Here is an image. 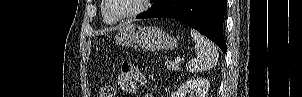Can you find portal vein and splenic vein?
Segmentation results:
<instances>
[{
  "mask_svg": "<svg viewBox=\"0 0 302 97\" xmlns=\"http://www.w3.org/2000/svg\"><path fill=\"white\" fill-rule=\"evenodd\" d=\"M181 62V58L180 57H176L175 58V64H179Z\"/></svg>",
  "mask_w": 302,
  "mask_h": 97,
  "instance_id": "obj_1",
  "label": "portal vein and splenic vein"
}]
</instances>
